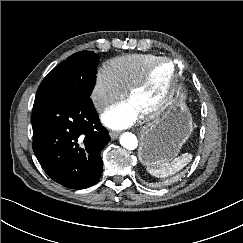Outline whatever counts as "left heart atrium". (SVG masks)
Segmentation results:
<instances>
[{
  "mask_svg": "<svg viewBox=\"0 0 243 243\" xmlns=\"http://www.w3.org/2000/svg\"><path fill=\"white\" fill-rule=\"evenodd\" d=\"M139 110L130 102H122L107 110L102 115L105 125L113 129H120L130 126L135 122Z\"/></svg>",
  "mask_w": 243,
  "mask_h": 243,
  "instance_id": "left-heart-atrium-1",
  "label": "left heart atrium"
}]
</instances>
